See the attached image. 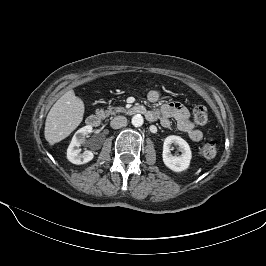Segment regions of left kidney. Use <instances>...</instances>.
I'll return each instance as SVG.
<instances>
[{"label":"left kidney","mask_w":266,"mask_h":266,"mask_svg":"<svg viewBox=\"0 0 266 266\" xmlns=\"http://www.w3.org/2000/svg\"><path fill=\"white\" fill-rule=\"evenodd\" d=\"M175 144L179 147L181 155H172L170 147ZM162 158L164 164L174 172L186 170L192 158V152L189 144L181 137L171 135L164 140Z\"/></svg>","instance_id":"5707ae66"}]
</instances>
